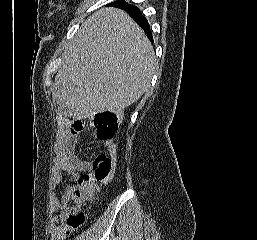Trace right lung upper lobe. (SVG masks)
<instances>
[{"label": "right lung upper lobe", "instance_id": "1", "mask_svg": "<svg viewBox=\"0 0 257 240\" xmlns=\"http://www.w3.org/2000/svg\"><path fill=\"white\" fill-rule=\"evenodd\" d=\"M124 0L115 1L113 4L115 5H124Z\"/></svg>", "mask_w": 257, "mask_h": 240}]
</instances>
